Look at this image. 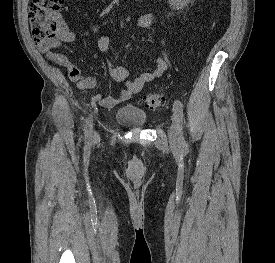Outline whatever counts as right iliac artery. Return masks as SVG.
I'll return each mask as SVG.
<instances>
[{"label":"right iliac artery","instance_id":"obj_1","mask_svg":"<svg viewBox=\"0 0 275 263\" xmlns=\"http://www.w3.org/2000/svg\"><path fill=\"white\" fill-rule=\"evenodd\" d=\"M85 135L86 138L90 139L92 135V120L91 118L87 119L86 126H85Z\"/></svg>","mask_w":275,"mask_h":263}]
</instances>
